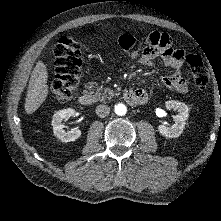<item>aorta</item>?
<instances>
[{"label":"aorta","mask_w":221,"mask_h":221,"mask_svg":"<svg viewBox=\"0 0 221 221\" xmlns=\"http://www.w3.org/2000/svg\"><path fill=\"white\" fill-rule=\"evenodd\" d=\"M126 112H127V108L124 104L119 103L115 105V113L117 115L123 116L126 114Z\"/></svg>","instance_id":"1"}]
</instances>
